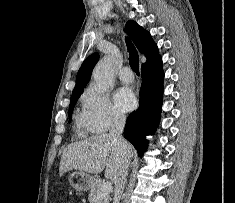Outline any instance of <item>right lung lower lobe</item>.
<instances>
[{
    "label": "right lung lower lobe",
    "instance_id": "obj_1",
    "mask_svg": "<svg viewBox=\"0 0 235 203\" xmlns=\"http://www.w3.org/2000/svg\"><path fill=\"white\" fill-rule=\"evenodd\" d=\"M141 76L140 107L128 116L124 129V137L140 156L147 149L145 136L155 132L161 114L164 72L160 55L142 66Z\"/></svg>",
    "mask_w": 235,
    "mask_h": 203
}]
</instances>
